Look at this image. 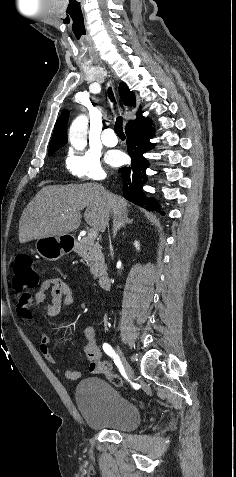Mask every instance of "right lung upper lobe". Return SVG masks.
Masks as SVG:
<instances>
[{
	"label": "right lung upper lobe",
	"mask_w": 236,
	"mask_h": 477,
	"mask_svg": "<svg viewBox=\"0 0 236 477\" xmlns=\"http://www.w3.org/2000/svg\"><path fill=\"white\" fill-rule=\"evenodd\" d=\"M119 93L125 105L132 106L133 104H135V96L133 92L128 90L125 84L123 83L120 84ZM68 117H69V113L68 111H65L58 118L54 127L52 139L50 141L49 150L62 147L67 143L66 126H67ZM145 122H148V120L142 116L141 111L139 110L137 113V119L129 120V122L126 124L125 129L135 124H141Z\"/></svg>",
	"instance_id": "1"
}]
</instances>
